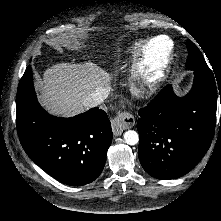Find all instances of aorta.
Instances as JSON below:
<instances>
[{
    "mask_svg": "<svg viewBox=\"0 0 221 221\" xmlns=\"http://www.w3.org/2000/svg\"><path fill=\"white\" fill-rule=\"evenodd\" d=\"M124 141L128 145H136L139 142V135L134 130H128L124 133Z\"/></svg>",
    "mask_w": 221,
    "mask_h": 221,
    "instance_id": "obj_1",
    "label": "aorta"
}]
</instances>
